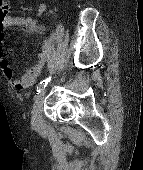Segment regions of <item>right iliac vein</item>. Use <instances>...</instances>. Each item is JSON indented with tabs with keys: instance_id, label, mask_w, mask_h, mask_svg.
Wrapping results in <instances>:
<instances>
[{
	"instance_id": "right-iliac-vein-1",
	"label": "right iliac vein",
	"mask_w": 143,
	"mask_h": 170,
	"mask_svg": "<svg viewBox=\"0 0 143 170\" xmlns=\"http://www.w3.org/2000/svg\"><path fill=\"white\" fill-rule=\"evenodd\" d=\"M44 97H45V90L43 89L37 95L34 105H33L32 123L34 126L41 125V113H42Z\"/></svg>"
}]
</instances>
